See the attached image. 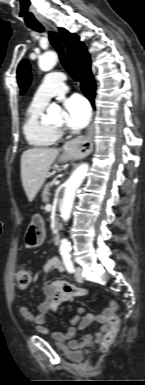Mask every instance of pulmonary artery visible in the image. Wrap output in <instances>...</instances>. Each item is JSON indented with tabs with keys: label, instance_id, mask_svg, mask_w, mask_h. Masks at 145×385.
<instances>
[{
	"label": "pulmonary artery",
	"instance_id": "obj_1",
	"mask_svg": "<svg viewBox=\"0 0 145 385\" xmlns=\"http://www.w3.org/2000/svg\"><path fill=\"white\" fill-rule=\"evenodd\" d=\"M66 77L62 72L54 71L47 74L35 92L33 102L38 104H46L54 96H58L67 90L65 85Z\"/></svg>",
	"mask_w": 145,
	"mask_h": 385
}]
</instances>
